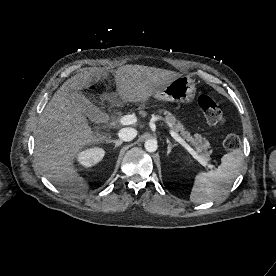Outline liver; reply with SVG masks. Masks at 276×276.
<instances>
[{"label": "liver", "instance_id": "6515ba94", "mask_svg": "<svg viewBox=\"0 0 276 276\" xmlns=\"http://www.w3.org/2000/svg\"><path fill=\"white\" fill-rule=\"evenodd\" d=\"M114 75L116 89L125 103H145L155 92L181 74L142 65L119 67ZM107 72L90 70L68 79L54 94L40 116L35 135V158L45 177L74 193L88 190L74 159L86 146L103 142L107 136L94 134L85 115L70 101L69 92L83 90Z\"/></svg>", "mask_w": 276, "mask_h": 276}]
</instances>
